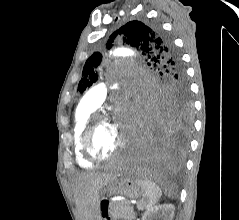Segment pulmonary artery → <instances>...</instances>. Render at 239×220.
Segmentation results:
<instances>
[{"label":"pulmonary artery","mask_w":239,"mask_h":220,"mask_svg":"<svg viewBox=\"0 0 239 220\" xmlns=\"http://www.w3.org/2000/svg\"><path fill=\"white\" fill-rule=\"evenodd\" d=\"M106 94L107 86L104 83L95 85L83 95L80 105L91 110H96L105 100Z\"/></svg>","instance_id":"1"}]
</instances>
